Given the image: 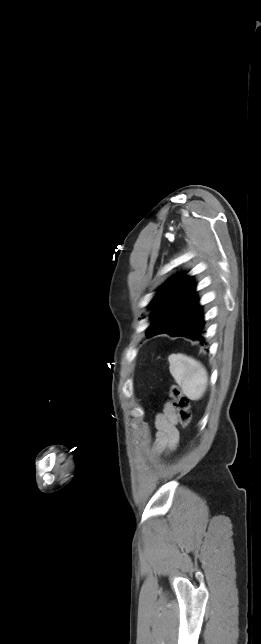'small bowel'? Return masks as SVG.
<instances>
[{
    "instance_id": "small-bowel-1",
    "label": "small bowel",
    "mask_w": 261,
    "mask_h": 644,
    "mask_svg": "<svg viewBox=\"0 0 261 644\" xmlns=\"http://www.w3.org/2000/svg\"><path fill=\"white\" fill-rule=\"evenodd\" d=\"M155 454L170 453L174 451L179 442L177 429V414L171 402H167L163 411L155 416Z\"/></svg>"
}]
</instances>
